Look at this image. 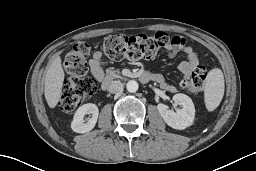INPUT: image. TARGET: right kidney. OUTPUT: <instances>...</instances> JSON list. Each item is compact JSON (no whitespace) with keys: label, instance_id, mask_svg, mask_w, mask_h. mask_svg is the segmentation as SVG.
Here are the masks:
<instances>
[{"label":"right kidney","instance_id":"right-kidney-1","mask_svg":"<svg viewBox=\"0 0 256 171\" xmlns=\"http://www.w3.org/2000/svg\"><path fill=\"white\" fill-rule=\"evenodd\" d=\"M98 107L95 104L87 103L80 106L75 112L73 121L71 123V128L74 132L77 133H87L91 131L97 122L98 119ZM90 114L91 118L85 122L84 116Z\"/></svg>","mask_w":256,"mask_h":171}]
</instances>
